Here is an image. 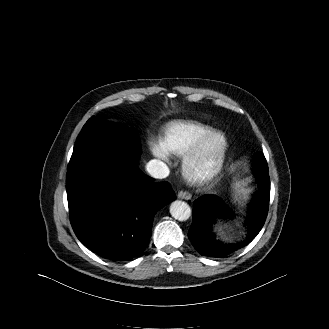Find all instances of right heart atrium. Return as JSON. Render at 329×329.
<instances>
[{
    "label": "right heart atrium",
    "mask_w": 329,
    "mask_h": 329,
    "mask_svg": "<svg viewBox=\"0 0 329 329\" xmlns=\"http://www.w3.org/2000/svg\"><path fill=\"white\" fill-rule=\"evenodd\" d=\"M151 151L159 159L168 161L169 155L160 144H153L151 146Z\"/></svg>",
    "instance_id": "d8ad5b80"
}]
</instances>
